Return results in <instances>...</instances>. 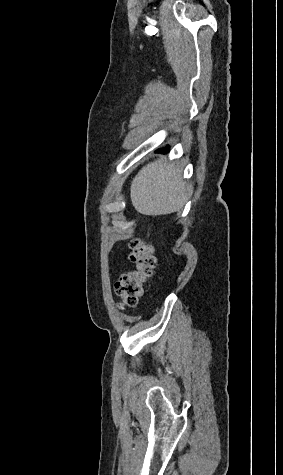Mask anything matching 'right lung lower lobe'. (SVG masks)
<instances>
[{
    "instance_id": "1",
    "label": "right lung lower lobe",
    "mask_w": 283,
    "mask_h": 475,
    "mask_svg": "<svg viewBox=\"0 0 283 475\" xmlns=\"http://www.w3.org/2000/svg\"><path fill=\"white\" fill-rule=\"evenodd\" d=\"M169 148H170L169 146H166V148H164L163 150L159 149L158 151L166 153V152H168Z\"/></svg>"
}]
</instances>
